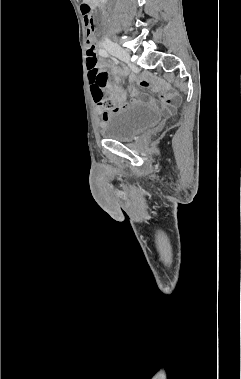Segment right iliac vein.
Instances as JSON below:
<instances>
[{
	"instance_id": "63e3f726",
	"label": "right iliac vein",
	"mask_w": 241,
	"mask_h": 379,
	"mask_svg": "<svg viewBox=\"0 0 241 379\" xmlns=\"http://www.w3.org/2000/svg\"><path fill=\"white\" fill-rule=\"evenodd\" d=\"M104 48L106 50H108L111 54H113L114 56H116L117 58H119L120 60H123L125 62H130V55L129 53L121 48L120 46H118L117 44L115 43H106L104 45Z\"/></svg>"
}]
</instances>
